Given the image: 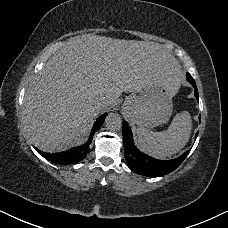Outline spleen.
Segmentation results:
<instances>
[{"instance_id":"3e777b00","label":"spleen","mask_w":228,"mask_h":228,"mask_svg":"<svg viewBox=\"0 0 228 228\" xmlns=\"http://www.w3.org/2000/svg\"><path fill=\"white\" fill-rule=\"evenodd\" d=\"M192 119L187 111L173 117L167 130L153 132L138 124L137 137L141 150L157 159H165L178 153L189 141Z\"/></svg>"}]
</instances>
